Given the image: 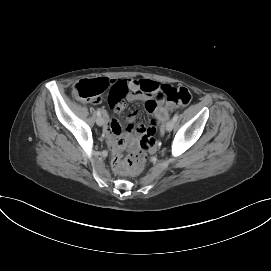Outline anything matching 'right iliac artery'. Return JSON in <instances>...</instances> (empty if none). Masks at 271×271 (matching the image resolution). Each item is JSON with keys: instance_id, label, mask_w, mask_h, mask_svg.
<instances>
[{"instance_id": "obj_1", "label": "right iliac artery", "mask_w": 271, "mask_h": 271, "mask_svg": "<svg viewBox=\"0 0 271 271\" xmlns=\"http://www.w3.org/2000/svg\"><path fill=\"white\" fill-rule=\"evenodd\" d=\"M97 116H101V111L99 109L97 110Z\"/></svg>"}]
</instances>
